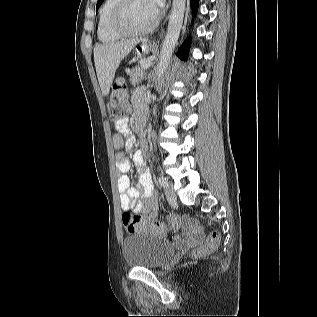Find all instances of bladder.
I'll return each mask as SVG.
<instances>
[{
	"instance_id": "bladder-1",
	"label": "bladder",
	"mask_w": 317,
	"mask_h": 317,
	"mask_svg": "<svg viewBox=\"0 0 317 317\" xmlns=\"http://www.w3.org/2000/svg\"><path fill=\"white\" fill-rule=\"evenodd\" d=\"M122 251L129 266L150 269L162 266L175 254V248L168 239L150 232L125 237Z\"/></svg>"
}]
</instances>
